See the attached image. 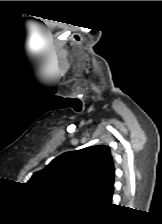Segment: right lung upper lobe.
I'll return each mask as SVG.
<instances>
[{
    "label": "right lung upper lobe",
    "instance_id": "cb5924a9",
    "mask_svg": "<svg viewBox=\"0 0 162 224\" xmlns=\"http://www.w3.org/2000/svg\"><path fill=\"white\" fill-rule=\"evenodd\" d=\"M115 169L110 149L97 145L66 152L33 174L28 185L54 193L72 194L97 205L110 202Z\"/></svg>",
    "mask_w": 162,
    "mask_h": 224
}]
</instances>
